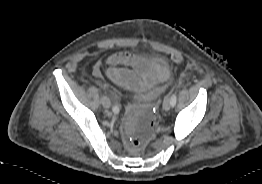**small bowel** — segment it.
Wrapping results in <instances>:
<instances>
[{
    "label": "small bowel",
    "mask_w": 262,
    "mask_h": 184,
    "mask_svg": "<svg viewBox=\"0 0 262 184\" xmlns=\"http://www.w3.org/2000/svg\"><path fill=\"white\" fill-rule=\"evenodd\" d=\"M107 77L114 84L135 91H146L169 78L168 69L155 60L148 61L128 52H116L107 58ZM92 75L100 80L103 70L98 64L92 66Z\"/></svg>",
    "instance_id": "c3829d8e"
}]
</instances>
